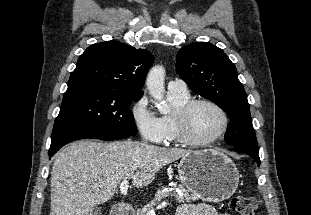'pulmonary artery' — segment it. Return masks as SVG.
<instances>
[{"label":"pulmonary artery","mask_w":311,"mask_h":215,"mask_svg":"<svg viewBox=\"0 0 311 215\" xmlns=\"http://www.w3.org/2000/svg\"><path fill=\"white\" fill-rule=\"evenodd\" d=\"M168 92L187 93L188 88L186 83L181 79H175L168 83Z\"/></svg>","instance_id":"1"}]
</instances>
